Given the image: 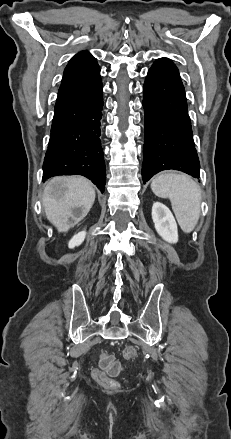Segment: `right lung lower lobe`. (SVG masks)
<instances>
[{
    "label": "right lung lower lobe",
    "mask_w": 231,
    "mask_h": 439,
    "mask_svg": "<svg viewBox=\"0 0 231 439\" xmlns=\"http://www.w3.org/2000/svg\"><path fill=\"white\" fill-rule=\"evenodd\" d=\"M102 108L100 73L89 82L58 95L43 163V181L57 175H83L104 192Z\"/></svg>",
    "instance_id": "98d812e1"
}]
</instances>
